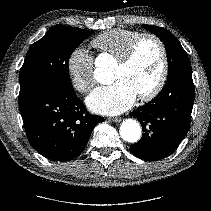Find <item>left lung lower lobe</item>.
Returning a JSON list of instances; mask_svg holds the SVG:
<instances>
[{"instance_id":"0a47b994","label":"left lung lower lobe","mask_w":211,"mask_h":211,"mask_svg":"<svg viewBox=\"0 0 211 211\" xmlns=\"http://www.w3.org/2000/svg\"><path fill=\"white\" fill-rule=\"evenodd\" d=\"M194 97L191 67L168 75L161 92L130 114L140 121L144 131L140 141L132 145L130 151L146 161L169 156L189 130Z\"/></svg>"}]
</instances>
